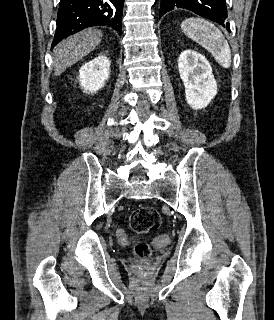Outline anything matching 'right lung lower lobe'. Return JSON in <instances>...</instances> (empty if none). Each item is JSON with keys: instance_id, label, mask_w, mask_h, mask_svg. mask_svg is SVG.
<instances>
[{"instance_id": "1", "label": "right lung lower lobe", "mask_w": 274, "mask_h": 320, "mask_svg": "<svg viewBox=\"0 0 274 320\" xmlns=\"http://www.w3.org/2000/svg\"><path fill=\"white\" fill-rule=\"evenodd\" d=\"M123 4L124 0H60L52 47L91 26H110L121 35Z\"/></svg>"}]
</instances>
